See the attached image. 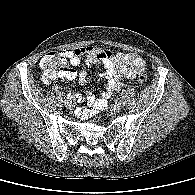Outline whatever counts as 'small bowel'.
I'll list each match as a JSON object with an SVG mask.
<instances>
[{
    "instance_id": "c3829d8e",
    "label": "small bowel",
    "mask_w": 195,
    "mask_h": 195,
    "mask_svg": "<svg viewBox=\"0 0 195 195\" xmlns=\"http://www.w3.org/2000/svg\"><path fill=\"white\" fill-rule=\"evenodd\" d=\"M74 67L81 66V58H85L87 66L95 64L103 67V75L107 79V88L99 97L89 93L87 95L88 107L78 109L76 114L81 119H87L99 114L108 106L111 96L120 90L123 80L134 79L147 70L145 60L136 53H113L110 50L97 47H81L60 51ZM60 77L67 80H78L83 84L86 82L88 74L84 69H67L60 74Z\"/></svg>"
}]
</instances>
